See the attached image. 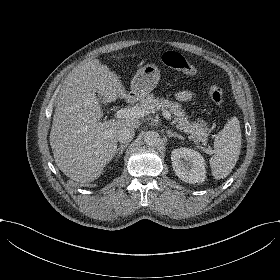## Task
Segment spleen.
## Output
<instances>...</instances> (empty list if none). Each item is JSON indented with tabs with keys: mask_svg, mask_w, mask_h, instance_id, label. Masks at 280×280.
<instances>
[{
	"mask_svg": "<svg viewBox=\"0 0 280 280\" xmlns=\"http://www.w3.org/2000/svg\"><path fill=\"white\" fill-rule=\"evenodd\" d=\"M215 154L210 159L212 175L215 179L225 178L238 161L241 150V130L239 120L231 118L214 140Z\"/></svg>",
	"mask_w": 280,
	"mask_h": 280,
	"instance_id": "1",
	"label": "spleen"
}]
</instances>
